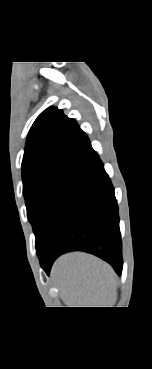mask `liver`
<instances>
[{"label": "liver", "instance_id": "6515ba94", "mask_svg": "<svg viewBox=\"0 0 152 369\" xmlns=\"http://www.w3.org/2000/svg\"><path fill=\"white\" fill-rule=\"evenodd\" d=\"M60 297L69 307H113L118 280L106 262L86 253L60 257L52 268Z\"/></svg>", "mask_w": 152, "mask_h": 369}]
</instances>
